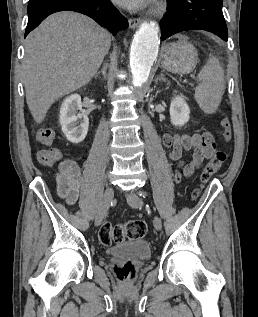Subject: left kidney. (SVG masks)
<instances>
[{
    "label": "left kidney",
    "mask_w": 258,
    "mask_h": 317,
    "mask_svg": "<svg viewBox=\"0 0 258 317\" xmlns=\"http://www.w3.org/2000/svg\"><path fill=\"white\" fill-rule=\"evenodd\" d=\"M170 118L174 126H184L190 116V108L185 102V96H174L170 102Z\"/></svg>",
    "instance_id": "5707ae66"
}]
</instances>
